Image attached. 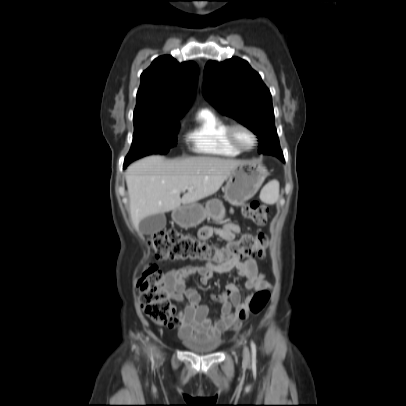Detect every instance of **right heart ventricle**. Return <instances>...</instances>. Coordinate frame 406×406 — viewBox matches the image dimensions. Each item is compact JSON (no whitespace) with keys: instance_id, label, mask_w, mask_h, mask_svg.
<instances>
[{"instance_id":"e07e8e85","label":"right heart ventricle","mask_w":406,"mask_h":406,"mask_svg":"<svg viewBox=\"0 0 406 406\" xmlns=\"http://www.w3.org/2000/svg\"><path fill=\"white\" fill-rule=\"evenodd\" d=\"M229 123L209 108L200 109L195 123L186 135L187 142L197 153L237 156L241 150L236 148L227 137Z\"/></svg>"}]
</instances>
